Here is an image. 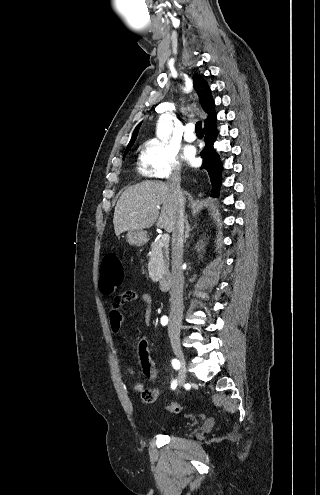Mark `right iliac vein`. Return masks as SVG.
Wrapping results in <instances>:
<instances>
[{"label":"right iliac vein","mask_w":320,"mask_h":495,"mask_svg":"<svg viewBox=\"0 0 320 495\" xmlns=\"http://www.w3.org/2000/svg\"><path fill=\"white\" fill-rule=\"evenodd\" d=\"M170 340L172 344L173 351L175 355L178 357L180 362V368L178 371V386L182 387L186 380V361L184 357V353L180 344V336L176 332H172L170 334Z\"/></svg>","instance_id":"63e3f726"}]
</instances>
